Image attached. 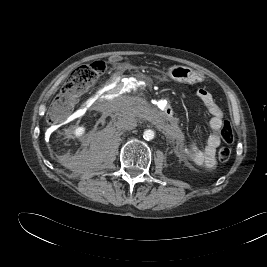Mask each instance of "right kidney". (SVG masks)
<instances>
[{"label": "right kidney", "instance_id": "1", "mask_svg": "<svg viewBox=\"0 0 267 267\" xmlns=\"http://www.w3.org/2000/svg\"><path fill=\"white\" fill-rule=\"evenodd\" d=\"M84 132H85V127H84V126H80V127H77V128L75 129V131H74V135H75L76 137H80V136H82V135L84 134Z\"/></svg>", "mask_w": 267, "mask_h": 267}]
</instances>
